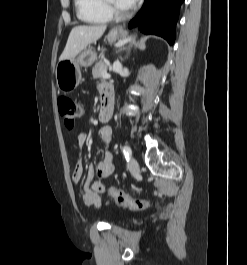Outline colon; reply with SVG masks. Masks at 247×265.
I'll return each instance as SVG.
<instances>
[{
    "label": "colon",
    "instance_id": "colon-1",
    "mask_svg": "<svg viewBox=\"0 0 247 265\" xmlns=\"http://www.w3.org/2000/svg\"><path fill=\"white\" fill-rule=\"evenodd\" d=\"M57 104L58 111L63 118L65 125L68 128H73L82 115V105L78 101L64 96L58 98ZM108 193L118 205L132 211H142L149 206L147 200L132 198L123 191L113 187L108 189Z\"/></svg>",
    "mask_w": 247,
    "mask_h": 265
}]
</instances>
